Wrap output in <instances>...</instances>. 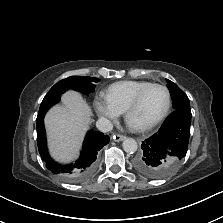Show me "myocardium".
Wrapping results in <instances>:
<instances>
[{"instance_id":"obj_1","label":"myocardium","mask_w":223,"mask_h":223,"mask_svg":"<svg viewBox=\"0 0 223 223\" xmlns=\"http://www.w3.org/2000/svg\"><path fill=\"white\" fill-rule=\"evenodd\" d=\"M155 87H160V88H162L166 92V95H167V104L165 106V109L162 112V114L156 120H154L153 122H151L149 124H146V125H142V126H133V128L136 131L146 132V131H149V130L153 129L158 124H160L166 118V116L169 113V110L171 108V93H170L169 89L165 85L158 84V83H154V84H151V85L145 87L144 89H142L134 97V99L130 102V104L127 106V108L124 111L125 119L128 121L129 115L138 107V105L140 104V102L142 101V99L146 95V93L148 91H150L151 89L155 88Z\"/></svg>"}]
</instances>
